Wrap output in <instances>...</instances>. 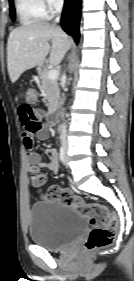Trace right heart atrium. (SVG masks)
Masks as SVG:
<instances>
[{"mask_svg": "<svg viewBox=\"0 0 134 281\" xmlns=\"http://www.w3.org/2000/svg\"><path fill=\"white\" fill-rule=\"evenodd\" d=\"M63 0H42V3L47 12L52 13L59 9L62 5Z\"/></svg>", "mask_w": 134, "mask_h": 281, "instance_id": "d8ad5b80", "label": "right heart atrium"}]
</instances>
